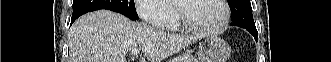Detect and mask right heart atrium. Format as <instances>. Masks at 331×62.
Masks as SVG:
<instances>
[{"label":"right heart atrium","instance_id":"right-heart-atrium-1","mask_svg":"<svg viewBox=\"0 0 331 62\" xmlns=\"http://www.w3.org/2000/svg\"><path fill=\"white\" fill-rule=\"evenodd\" d=\"M135 10L142 20L156 28L168 27L174 18V11L165 0H137Z\"/></svg>","mask_w":331,"mask_h":62}]
</instances>
